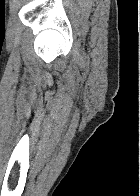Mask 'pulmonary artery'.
<instances>
[{
	"label": "pulmonary artery",
	"instance_id": "1",
	"mask_svg": "<svg viewBox=\"0 0 140 196\" xmlns=\"http://www.w3.org/2000/svg\"><path fill=\"white\" fill-rule=\"evenodd\" d=\"M30 192H47V191H30Z\"/></svg>",
	"mask_w": 140,
	"mask_h": 196
}]
</instances>
